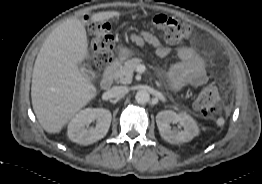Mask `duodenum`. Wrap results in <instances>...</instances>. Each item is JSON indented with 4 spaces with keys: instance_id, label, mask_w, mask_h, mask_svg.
Wrapping results in <instances>:
<instances>
[{
    "instance_id": "duodenum-1",
    "label": "duodenum",
    "mask_w": 262,
    "mask_h": 184,
    "mask_svg": "<svg viewBox=\"0 0 262 184\" xmlns=\"http://www.w3.org/2000/svg\"><path fill=\"white\" fill-rule=\"evenodd\" d=\"M117 65H118V61H114L113 63H111L107 67V69H106V71H105V73H104V75H103V77L101 79V87H102V89L108 90V89L111 88L112 83H113V70L115 69V67Z\"/></svg>"
}]
</instances>
